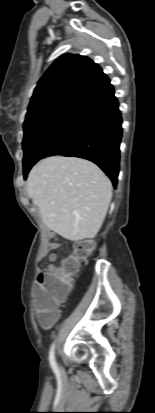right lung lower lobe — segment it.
I'll list each match as a JSON object with an SVG mask.
<instances>
[{
    "mask_svg": "<svg viewBox=\"0 0 155 413\" xmlns=\"http://www.w3.org/2000/svg\"><path fill=\"white\" fill-rule=\"evenodd\" d=\"M121 123L118 101L114 96V88L109 83L78 105L66 128L43 158L62 155L90 160L107 174L116 188Z\"/></svg>",
    "mask_w": 155,
    "mask_h": 413,
    "instance_id": "98d812e1",
    "label": "right lung lower lobe"
}]
</instances>
